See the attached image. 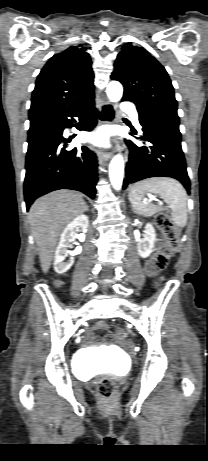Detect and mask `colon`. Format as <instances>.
<instances>
[{
    "label": "colon",
    "instance_id": "obj_1",
    "mask_svg": "<svg viewBox=\"0 0 208 461\" xmlns=\"http://www.w3.org/2000/svg\"><path fill=\"white\" fill-rule=\"evenodd\" d=\"M155 225L165 238V242L160 246L157 254L149 261V267L158 271L166 266L172 253L179 247L180 235L177 226L167 214H158L155 217ZM115 335L120 340L125 339V333L121 329H117ZM116 390V382L109 377H103L96 383V392L104 400L112 398Z\"/></svg>",
    "mask_w": 208,
    "mask_h": 461
}]
</instances>
